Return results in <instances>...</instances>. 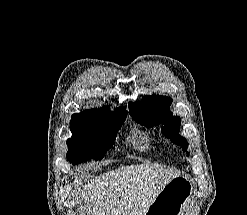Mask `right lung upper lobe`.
Listing matches in <instances>:
<instances>
[{"label":"right lung upper lobe","instance_id":"cb5924a9","mask_svg":"<svg viewBox=\"0 0 247 215\" xmlns=\"http://www.w3.org/2000/svg\"><path fill=\"white\" fill-rule=\"evenodd\" d=\"M86 111L92 113L109 114V115L126 114V109L124 107L116 108L113 112H110V109L107 107H103L98 110L94 109V110H86Z\"/></svg>","mask_w":247,"mask_h":215}]
</instances>
